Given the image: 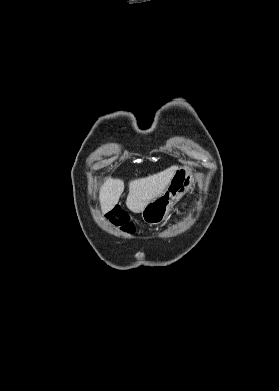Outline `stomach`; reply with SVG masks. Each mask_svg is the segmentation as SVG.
<instances>
[{
  "instance_id": "0dacf381",
  "label": "stomach",
  "mask_w": 279,
  "mask_h": 391,
  "mask_svg": "<svg viewBox=\"0 0 279 391\" xmlns=\"http://www.w3.org/2000/svg\"><path fill=\"white\" fill-rule=\"evenodd\" d=\"M194 183V177L187 166L177 169L166 189L152 199L141 212L144 222L157 225L163 222L173 206L188 192Z\"/></svg>"
}]
</instances>
